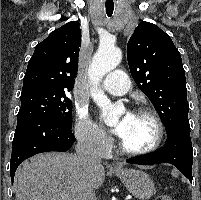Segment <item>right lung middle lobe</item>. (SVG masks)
<instances>
[{
  "instance_id": "obj_1",
  "label": "right lung middle lobe",
  "mask_w": 201,
  "mask_h": 200,
  "mask_svg": "<svg viewBox=\"0 0 201 200\" xmlns=\"http://www.w3.org/2000/svg\"><path fill=\"white\" fill-rule=\"evenodd\" d=\"M17 122L30 118H49L72 128V102L65 91L33 90L22 92Z\"/></svg>"
}]
</instances>
